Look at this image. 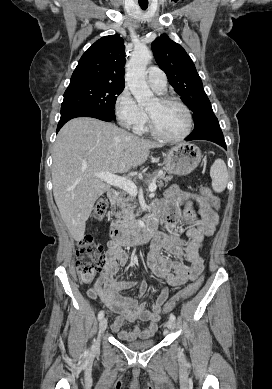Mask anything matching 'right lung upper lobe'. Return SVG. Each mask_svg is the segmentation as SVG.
Listing matches in <instances>:
<instances>
[{"label": "right lung upper lobe", "instance_id": "1", "mask_svg": "<svg viewBox=\"0 0 272 389\" xmlns=\"http://www.w3.org/2000/svg\"><path fill=\"white\" fill-rule=\"evenodd\" d=\"M124 40L118 34L96 41L81 57L70 83L101 82L125 86Z\"/></svg>", "mask_w": 272, "mask_h": 389}]
</instances>
